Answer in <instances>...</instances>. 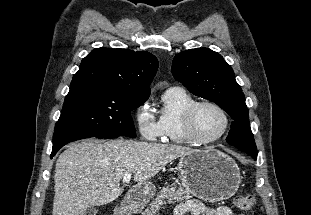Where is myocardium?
Segmentation results:
<instances>
[{
	"label": "myocardium",
	"instance_id": "obj_1",
	"mask_svg": "<svg viewBox=\"0 0 311 215\" xmlns=\"http://www.w3.org/2000/svg\"><path fill=\"white\" fill-rule=\"evenodd\" d=\"M203 106H210L215 108L220 112V114L223 117L224 125L222 130L215 136L211 138H202L200 137L195 129V117L198 112V110ZM182 123H183V130L186 138L190 141V143L198 144V145H207L214 143L218 141L220 138L224 136V134L227 132L229 128V116L225 109L217 104L216 102L204 100V101H198L191 104L183 113L182 117Z\"/></svg>",
	"mask_w": 311,
	"mask_h": 215
}]
</instances>
